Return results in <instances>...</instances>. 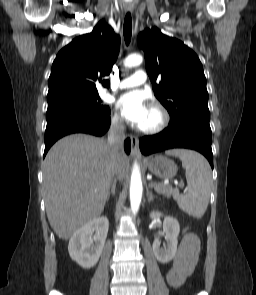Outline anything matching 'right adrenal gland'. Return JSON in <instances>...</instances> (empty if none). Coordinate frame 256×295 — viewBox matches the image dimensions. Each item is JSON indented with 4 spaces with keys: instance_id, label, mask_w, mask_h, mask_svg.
<instances>
[{
    "instance_id": "obj_1",
    "label": "right adrenal gland",
    "mask_w": 256,
    "mask_h": 295,
    "mask_svg": "<svg viewBox=\"0 0 256 295\" xmlns=\"http://www.w3.org/2000/svg\"><path fill=\"white\" fill-rule=\"evenodd\" d=\"M116 183H117V181L114 180L113 184L111 185V191L108 193V196H107V199H106L107 201L109 200L111 194L112 195H115V192H116Z\"/></svg>"
}]
</instances>
